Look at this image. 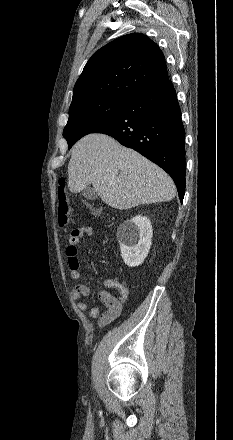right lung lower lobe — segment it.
<instances>
[{"label": "right lung lower lobe", "instance_id": "obj_1", "mask_svg": "<svg viewBox=\"0 0 233 440\" xmlns=\"http://www.w3.org/2000/svg\"><path fill=\"white\" fill-rule=\"evenodd\" d=\"M103 133L163 168L174 180L181 203L185 193V130L170 80L138 93L108 123Z\"/></svg>", "mask_w": 233, "mask_h": 440}]
</instances>
